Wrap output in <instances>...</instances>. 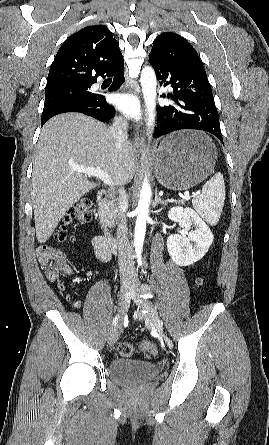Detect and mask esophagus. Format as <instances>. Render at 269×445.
Returning a JSON list of instances; mask_svg holds the SVG:
<instances>
[{"instance_id":"34e87169","label":"esophagus","mask_w":269,"mask_h":445,"mask_svg":"<svg viewBox=\"0 0 269 445\" xmlns=\"http://www.w3.org/2000/svg\"><path fill=\"white\" fill-rule=\"evenodd\" d=\"M124 90H127L136 95H139L140 93L139 87L130 83L125 84ZM133 141L136 148L139 149L144 147L145 137L141 130H138L134 133Z\"/></svg>"}]
</instances>
